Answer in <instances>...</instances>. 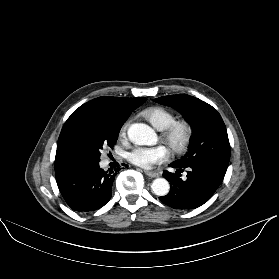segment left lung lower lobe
Instances as JSON below:
<instances>
[{"mask_svg": "<svg viewBox=\"0 0 279 279\" xmlns=\"http://www.w3.org/2000/svg\"><path fill=\"white\" fill-rule=\"evenodd\" d=\"M176 168V174L163 172L164 178L170 182V192L159 199L174 209H195L208 201L215 193L225 173L218 171L208 164H191L179 167L173 163L169 165ZM187 171V179L180 178L183 170Z\"/></svg>", "mask_w": 279, "mask_h": 279, "instance_id": "0a47b994", "label": "left lung lower lobe"}]
</instances>
